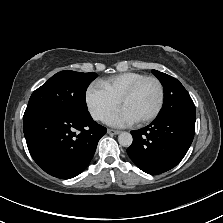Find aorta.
Returning <instances> with one entry per match:
<instances>
[{
  "instance_id": "1",
  "label": "aorta",
  "mask_w": 223,
  "mask_h": 223,
  "mask_svg": "<svg viewBox=\"0 0 223 223\" xmlns=\"http://www.w3.org/2000/svg\"><path fill=\"white\" fill-rule=\"evenodd\" d=\"M132 135L128 132H121L118 136V142L123 147H129L132 144Z\"/></svg>"
}]
</instances>
